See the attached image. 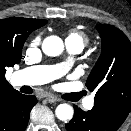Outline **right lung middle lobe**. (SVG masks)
Returning <instances> with one entry per match:
<instances>
[{
    "mask_svg": "<svg viewBox=\"0 0 131 131\" xmlns=\"http://www.w3.org/2000/svg\"><path fill=\"white\" fill-rule=\"evenodd\" d=\"M35 29L36 28H34V27H30L29 29L24 30L23 35H22L24 37L23 43L25 42V40L28 37V35Z\"/></svg>",
    "mask_w": 131,
    "mask_h": 131,
    "instance_id": "right-lung-middle-lobe-1",
    "label": "right lung middle lobe"
}]
</instances>
